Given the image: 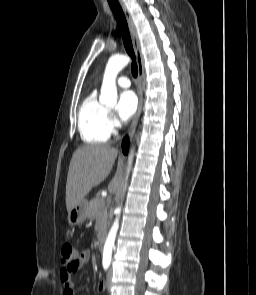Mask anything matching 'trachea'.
Here are the masks:
<instances>
[{"mask_svg":"<svg viewBox=\"0 0 256 295\" xmlns=\"http://www.w3.org/2000/svg\"><path fill=\"white\" fill-rule=\"evenodd\" d=\"M108 3H109V6H110L116 20H117L126 52L128 53V55L132 59L131 73H132L133 77L136 78L138 75V67H137V64L135 61V54H134V50H133L132 41L130 38V33H129L128 25L126 22V18L124 16L123 10L117 0H108Z\"/></svg>","mask_w":256,"mask_h":295,"instance_id":"obj_1","label":"trachea"}]
</instances>
